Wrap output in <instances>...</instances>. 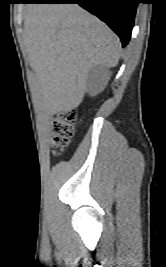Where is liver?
<instances>
[{
	"mask_svg": "<svg viewBox=\"0 0 166 267\" xmlns=\"http://www.w3.org/2000/svg\"><path fill=\"white\" fill-rule=\"evenodd\" d=\"M24 42L49 114L77 108L91 69L116 66L121 51L115 33L77 4L29 5Z\"/></svg>",
	"mask_w": 166,
	"mask_h": 267,
	"instance_id": "obj_1",
	"label": "liver"
}]
</instances>
